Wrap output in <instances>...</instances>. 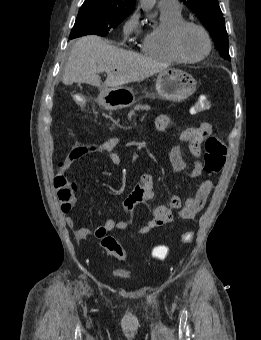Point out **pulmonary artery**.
<instances>
[{"mask_svg": "<svg viewBox=\"0 0 261 340\" xmlns=\"http://www.w3.org/2000/svg\"><path fill=\"white\" fill-rule=\"evenodd\" d=\"M158 6L162 10L181 11V5L178 0H159Z\"/></svg>", "mask_w": 261, "mask_h": 340, "instance_id": "1", "label": "pulmonary artery"}]
</instances>
